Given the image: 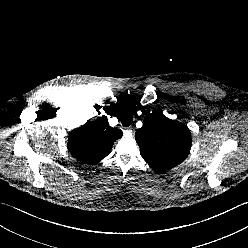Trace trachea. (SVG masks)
<instances>
[{"instance_id":"3493384b","label":"trachea","mask_w":248,"mask_h":248,"mask_svg":"<svg viewBox=\"0 0 248 248\" xmlns=\"http://www.w3.org/2000/svg\"><path fill=\"white\" fill-rule=\"evenodd\" d=\"M133 122V114L130 110L126 109L121 114V123L124 127H128Z\"/></svg>"}]
</instances>
